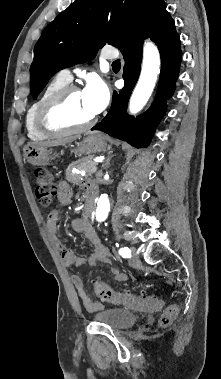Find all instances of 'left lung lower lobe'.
Here are the masks:
<instances>
[{"mask_svg": "<svg viewBox=\"0 0 221 379\" xmlns=\"http://www.w3.org/2000/svg\"><path fill=\"white\" fill-rule=\"evenodd\" d=\"M150 37L158 46L161 56V72L156 99L151 108L136 119L126 113L130 94L140 73L144 38ZM124 56L123 78L125 85L117 94L108 114L92 130H101L110 136L126 140L135 147H146L156 125L165 113V99L175 88L182 53L180 39L164 1L157 4L141 30L126 38L119 47Z\"/></svg>", "mask_w": 221, "mask_h": 379, "instance_id": "1", "label": "left lung lower lobe"}]
</instances>
